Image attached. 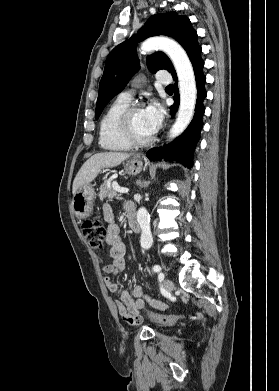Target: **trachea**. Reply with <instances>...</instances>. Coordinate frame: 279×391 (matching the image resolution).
I'll use <instances>...</instances> for the list:
<instances>
[{
	"mask_svg": "<svg viewBox=\"0 0 279 391\" xmlns=\"http://www.w3.org/2000/svg\"><path fill=\"white\" fill-rule=\"evenodd\" d=\"M166 89H173V85H172V84L168 85V86L166 87Z\"/></svg>",
	"mask_w": 279,
	"mask_h": 391,
	"instance_id": "1",
	"label": "trachea"
}]
</instances>
